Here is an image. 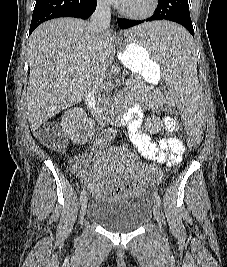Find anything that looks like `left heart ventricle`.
<instances>
[{
  "instance_id": "obj_1",
  "label": "left heart ventricle",
  "mask_w": 227,
  "mask_h": 267,
  "mask_svg": "<svg viewBox=\"0 0 227 267\" xmlns=\"http://www.w3.org/2000/svg\"><path fill=\"white\" fill-rule=\"evenodd\" d=\"M148 1L149 0H130L125 7L133 10H143L148 5Z\"/></svg>"
}]
</instances>
